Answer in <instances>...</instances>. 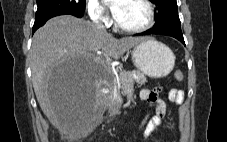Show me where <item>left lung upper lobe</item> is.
<instances>
[{"instance_id":"left-lung-upper-lobe-1","label":"left lung upper lobe","mask_w":227,"mask_h":142,"mask_svg":"<svg viewBox=\"0 0 227 142\" xmlns=\"http://www.w3.org/2000/svg\"><path fill=\"white\" fill-rule=\"evenodd\" d=\"M156 7V27H174L181 29L176 0H152Z\"/></svg>"}]
</instances>
